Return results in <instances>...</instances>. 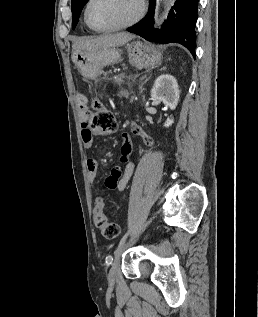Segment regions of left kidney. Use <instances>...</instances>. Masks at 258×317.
I'll return each instance as SVG.
<instances>
[{
  "label": "left kidney",
  "mask_w": 258,
  "mask_h": 317,
  "mask_svg": "<svg viewBox=\"0 0 258 317\" xmlns=\"http://www.w3.org/2000/svg\"><path fill=\"white\" fill-rule=\"evenodd\" d=\"M151 98L162 100L166 106L174 110L179 100V88L175 76L160 74L151 88ZM173 118H166L163 126H171Z\"/></svg>",
  "instance_id": "left-kidney-1"
}]
</instances>
